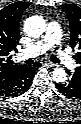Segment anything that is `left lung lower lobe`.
Returning a JSON list of instances; mask_svg holds the SVG:
<instances>
[{
	"label": "left lung lower lobe",
	"mask_w": 81,
	"mask_h": 124,
	"mask_svg": "<svg viewBox=\"0 0 81 124\" xmlns=\"http://www.w3.org/2000/svg\"><path fill=\"white\" fill-rule=\"evenodd\" d=\"M70 78L66 83H56L55 86L63 95L67 96L68 98H78L81 97V73L74 72L70 73Z\"/></svg>",
	"instance_id": "0a47b994"
}]
</instances>
